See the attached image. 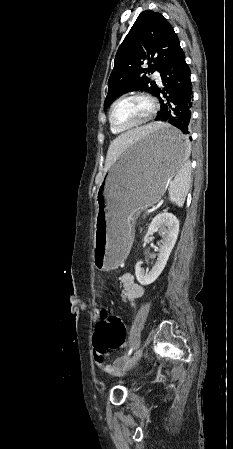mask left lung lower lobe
Masks as SVG:
<instances>
[{
    "label": "left lung lower lobe",
    "instance_id": "left-lung-lower-lobe-1",
    "mask_svg": "<svg viewBox=\"0 0 233 449\" xmlns=\"http://www.w3.org/2000/svg\"><path fill=\"white\" fill-rule=\"evenodd\" d=\"M190 68L185 61V54L180 49L175 57L160 72L162 83L165 86V100L160 98L161 90L154 93L161 103V110L157 113V121H165L181 132V137L164 133L161 142L172 150L179 151L192 140L190 134L193 93L190 79Z\"/></svg>",
    "mask_w": 233,
    "mask_h": 449
}]
</instances>
